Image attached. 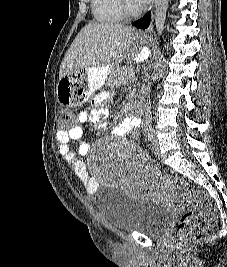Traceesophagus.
<instances>
[{"instance_id":"esophagus-1","label":"esophagus","mask_w":227,"mask_h":267,"mask_svg":"<svg viewBox=\"0 0 227 267\" xmlns=\"http://www.w3.org/2000/svg\"><path fill=\"white\" fill-rule=\"evenodd\" d=\"M153 3L154 2H152L151 6H150V10L153 8ZM149 31H150V27L148 29H146V31L144 32V35H147Z\"/></svg>"}]
</instances>
